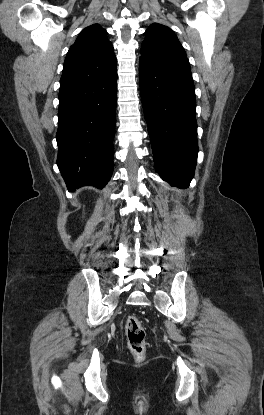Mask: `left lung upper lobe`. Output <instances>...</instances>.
<instances>
[{
    "label": "left lung upper lobe",
    "instance_id": "1",
    "mask_svg": "<svg viewBox=\"0 0 264 415\" xmlns=\"http://www.w3.org/2000/svg\"><path fill=\"white\" fill-rule=\"evenodd\" d=\"M145 33L140 59L162 67L191 72L185 50L171 29L154 23Z\"/></svg>",
    "mask_w": 264,
    "mask_h": 415
}]
</instances>
